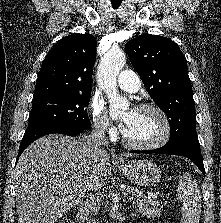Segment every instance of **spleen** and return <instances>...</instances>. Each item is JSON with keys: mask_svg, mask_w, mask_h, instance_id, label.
I'll return each instance as SVG.
<instances>
[{"mask_svg": "<svg viewBox=\"0 0 221 223\" xmlns=\"http://www.w3.org/2000/svg\"><path fill=\"white\" fill-rule=\"evenodd\" d=\"M178 198L181 202V223H199L201 216V194L196 181L183 172L178 181Z\"/></svg>", "mask_w": 221, "mask_h": 223, "instance_id": "spleen-1", "label": "spleen"}]
</instances>
